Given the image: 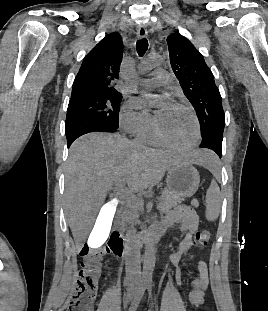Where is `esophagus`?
I'll return each instance as SVG.
<instances>
[{
	"label": "esophagus",
	"instance_id": "obj_1",
	"mask_svg": "<svg viewBox=\"0 0 268 311\" xmlns=\"http://www.w3.org/2000/svg\"><path fill=\"white\" fill-rule=\"evenodd\" d=\"M146 35H147L146 27L144 25H140L137 29L138 38H140V39L145 38Z\"/></svg>",
	"mask_w": 268,
	"mask_h": 311
}]
</instances>
